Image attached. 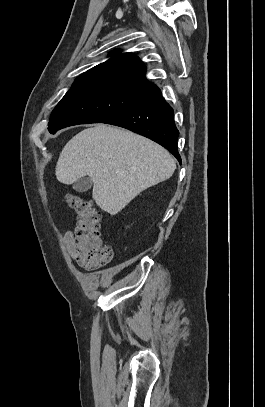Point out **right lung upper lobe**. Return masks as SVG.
I'll return each instance as SVG.
<instances>
[{
    "instance_id": "cb5924a9",
    "label": "right lung upper lobe",
    "mask_w": 265,
    "mask_h": 407,
    "mask_svg": "<svg viewBox=\"0 0 265 407\" xmlns=\"http://www.w3.org/2000/svg\"><path fill=\"white\" fill-rule=\"evenodd\" d=\"M117 52H110L112 57L109 60L91 68L81 76H105L156 87V85L147 81L145 76L146 68L137 56L132 53L116 54Z\"/></svg>"
}]
</instances>
